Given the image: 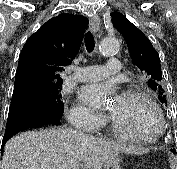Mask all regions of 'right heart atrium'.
I'll return each instance as SVG.
<instances>
[{"instance_id":"1","label":"right heart atrium","mask_w":177,"mask_h":169,"mask_svg":"<svg viewBox=\"0 0 177 169\" xmlns=\"http://www.w3.org/2000/svg\"><path fill=\"white\" fill-rule=\"evenodd\" d=\"M69 119L73 125L83 127L87 130L96 129L105 123L104 117L80 105H76L72 108Z\"/></svg>"}]
</instances>
